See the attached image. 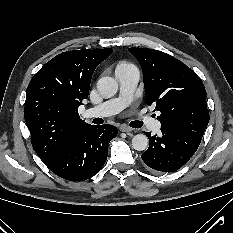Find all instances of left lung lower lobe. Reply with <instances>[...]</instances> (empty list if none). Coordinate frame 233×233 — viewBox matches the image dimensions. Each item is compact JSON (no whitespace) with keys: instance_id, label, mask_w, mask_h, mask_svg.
Masks as SVG:
<instances>
[{"instance_id":"0a47b994","label":"left lung lower lobe","mask_w":233,"mask_h":233,"mask_svg":"<svg viewBox=\"0 0 233 233\" xmlns=\"http://www.w3.org/2000/svg\"><path fill=\"white\" fill-rule=\"evenodd\" d=\"M160 136L146 135L149 147L141 157L147 166L159 172H172L181 168L196 152L201 138L192 134L161 127Z\"/></svg>"}]
</instances>
